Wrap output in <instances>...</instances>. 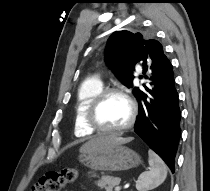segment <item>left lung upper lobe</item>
<instances>
[{"label": "left lung upper lobe", "mask_w": 210, "mask_h": 191, "mask_svg": "<svg viewBox=\"0 0 210 191\" xmlns=\"http://www.w3.org/2000/svg\"><path fill=\"white\" fill-rule=\"evenodd\" d=\"M164 58L167 57L157 40H146L141 33H132L127 30L115 31L109 37L105 49L107 64L115 72L117 78L129 88L133 86V71L136 64H141L144 70L149 68L153 71L159 67ZM142 91L143 88H133L136 98Z\"/></svg>", "instance_id": "left-lung-upper-lobe-1"}]
</instances>
